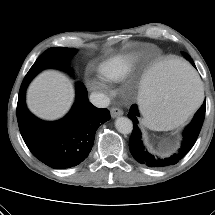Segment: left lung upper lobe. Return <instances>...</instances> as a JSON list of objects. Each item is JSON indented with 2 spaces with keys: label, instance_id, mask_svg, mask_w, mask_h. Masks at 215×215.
I'll return each mask as SVG.
<instances>
[{
  "label": "left lung upper lobe",
  "instance_id": "1",
  "mask_svg": "<svg viewBox=\"0 0 215 215\" xmlns=\"http://www.w3.org/2000/svg\"><path fill=\"white\" fill-rule=\"evenodd\" d=\"M183 55L192 63L193 66H195L193 60L187 53L183 52Z\"/></svg>",
  "mask_w": 215,
  "mask_h": 215
}]
</instances>
